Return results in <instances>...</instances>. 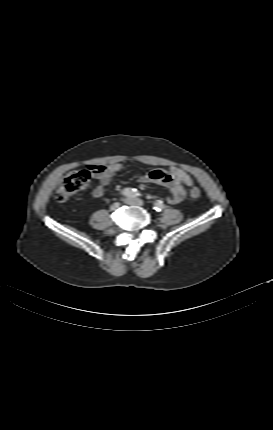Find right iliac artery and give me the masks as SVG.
<instances>
[{
  "mask_svg": "<svg viewBox=\"0 0 273 430\" xmlns=\"http://www.w3.org/2000/svg\"><path fill=\"white\" fill-rule=\"evenodd\" d=\"M121 195L127 198H135L139 195V192L137 189L134 188H125L121 191Z\"/></svg>",
  "mask_w": 273,
  "mask_h": 430,
  "instance_id": "82829eb1",
  "label": "right iliac artery"
}]
</instances>
